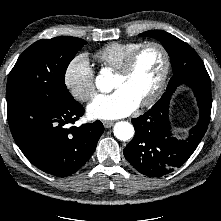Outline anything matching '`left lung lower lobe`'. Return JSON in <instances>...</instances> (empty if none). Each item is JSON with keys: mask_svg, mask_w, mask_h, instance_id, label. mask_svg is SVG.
Listing matches in <instances>:
<instances>
[{"mask_svg": "<svg viewBox=\"0 0 221 221\" xmlns=\"http://www.w3.org/2000/svg\"><path fill=\"white\" fill-rule=\"evenodd\" d=\"M192 88L200 109L198 124L185 140L172 137L169 104L176 87L166 90L159 101L144 115L131 121L135 136L125 147L124 156L140 173L161 177L180 167L197 148L210 121L212 97L210 85L185 83Z\"/></svg>", "mask_w": 221, "mask_h": 221, "instance_id": "left-lung-lower-lobe-1", "label": "left lung lower lobe"}]
</instances>
